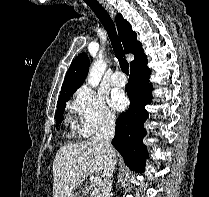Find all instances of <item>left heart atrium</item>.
Here are the masks:
<instances>
[{
  "mask_svg": "<svg viewBox=\"0 0 209 197\" xmlns=\"http://www.w3.org/2000/svg\"><path fill=\"white\" fill-rule=\"evenodd\" d=\"M128 104V99L127 97L121 93V92H116L112 96V106L118 110H124Z\"/></svg>",
  "mask_w": 209,
  "mask_h": 197,
  "instance_id": "obj_1",
  "label": "left heart atrium"
}]
</instances>
